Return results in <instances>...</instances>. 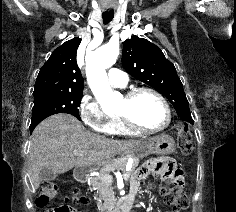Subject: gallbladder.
I'll list each match as a JSON object with an SVG mask.
<instances>
[{"label":"gallbladder","mask_w":236,"mask_h":212,"mask_svg":"<svg viewBox=\"0 0 236 212\" xmlns=\"http://www.w3.org/2000/svg\"><path fill=\"white\" fill-rule=\"evenodd\" d=\"M57 177V174L53 171L43 168L40 173V180L41 181H51L54 180Z\"/></svg>","instance_id":"obj_1"}]
</instances>
